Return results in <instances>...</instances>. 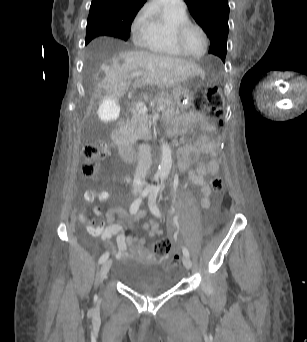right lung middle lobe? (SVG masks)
I'll return each instance as SVG.
<instances>
[{
	"instance_id": "dd1d6c3e",
	"label": "right lung middle lobe",
	"mask_w": 307,
	"mask_h": 342,
	"mask_svg": "<svg viewBox=\"0 0 307 342\" xmlns=\"http://www.w3.org/2000/svg\"><path fill=\"white\" fill-rule=\"evenodd\" d=\"M102 35L113 36L125 41L129 38V32L108 30L87 22V35L85 40L86 44L89 43L93 38Z\"/></svg>"
}]
</instances>
